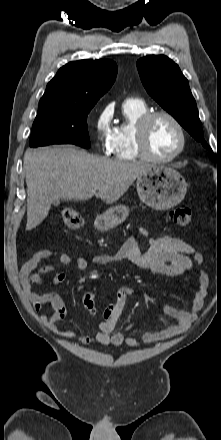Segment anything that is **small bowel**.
Instances as JSON below:
<instances>
[{"label":"small bowel","instance_id":"small-bowel-1","mask_svg":"<svg viewBox=\"0 0 221 440\" xmlns=\"http://www.w3.org/2000/svg\"><path fill=\"white\" fill-rule=\"evenodd\" d=\"M142 235H146L145 229H140ZM56 259L62 265L75 266L84 271L89 266V260L85 257L73 259L69 254L59 253L52 250H40L35 252L22 266L20 280L23 291L33 306L35 312L40 313L45 304L51 305L53 313L42 314L43 323L53 331H60L68 338H74L81 344L100 343L103 345L129 347L138 346L139 342L130 335L114 332L116 323L127 306L128 298L135 294V290L129 286H120L117 290L113 318H103L99 323V330L94 336H81L73 329H61L58 323L67 316V308L62 297L55 292L36 293L32 290L34 284L57 285L65 280L64 272L56 266L46 265L39 267L38 264L45 259ZM128 260L135 266L151 270L160 275L171 277H184L196 264H201L203 257L201 253L193 249L183 240L169 235L152 237L149 239V248L143 252L138 237L131 235L114 254H100L92 257L91 262L98 265H109L118 261ZM53 276L46 280L44 275ZM198 289L194 294L193 302L189 311L179 310L169 305L163 307L166 315L176 320V324L157 332H143L141 341L154 343L176 337L185 332L197 318L198 312L202 309L207 294L209 278L205 271L198 270ZM134 327L132 324L128 329Z\"/></svg>","mask_w":221,"mask_h":440}]
</instances>
